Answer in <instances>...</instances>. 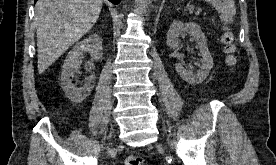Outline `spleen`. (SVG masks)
Here are the masks:
<instances>
[{"label":"spleen","mask_w":276,"mask_h":165,"mask_svg":"<svg viewBox=\"0 0 276 165\" xmlns=\"http://www.w3.org/2000/svg\"><path fill=\"white\" fill-rule=\"evenodd\" d=\"M210 3L220 14V19L226 23H231L236 14L234 0H205Z\"/></svg>","instance_id":"1"}]
</instances>
